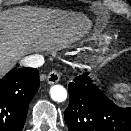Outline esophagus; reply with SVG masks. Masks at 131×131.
Returning a JSON list of instances; mask_svg holds the SVG:
<instances>
[{
  "label": "esophagus",
  "mask_w": 131,
  "mask_h": 131,
  "mask_svg": "<svg viewBox=\"0 0 131 131\" xmlns=\"http://www.w3.org/2000/svg\"><path fill=\"white\" fill-rule=\"evenodd\" d=\"M59 80H60V74L56 70L51 71L47 76L48 84H55L59 82Z\"/></svg>",
  "instance_id": "34e87169"
}]
</instances>
